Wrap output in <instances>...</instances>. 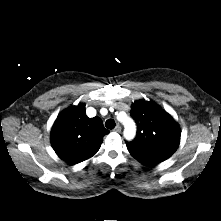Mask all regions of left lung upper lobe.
Segmentation results:
<instances>
[{
  "mask_svg": "<svg viewBox=\"0 0 221 221\" xmlns=\"http://www.w3.org/2000/svg\"><path fill=\"white\" fill-rule=\"evenodd\" d=\"M137 123L133 141L126 142L130 154L139 162L151 165L168 159L180 143V128L174 119L152 101L138 100L131 106Z\"/></svg>",
  "mask_w": 221,
  "mask_h": 221,
  "instance_id": "left-lung-upper-lobe-1",
  "label": "left lung upper lobe"
}]
</instances>
